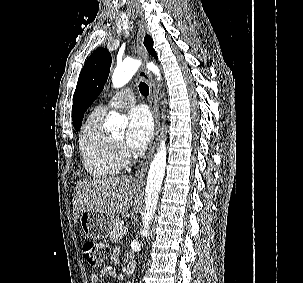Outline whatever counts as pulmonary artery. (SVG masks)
Masks as SVG:
<instances>
[{"label":"pulmonary artery","mask_w":303,"mask_h":283,"mask_svg":"<svg viewBox=\"0 0 303 283\" xmlns=\"http://www.w3.org/2000/svg\"><path fill=\"white\" fill-rule=\"evenodd\" d=\"M135 101L133 90L125 88L114 95L107 104L97 107L98 110L106 112L110 109H120L133 104Z\"/></svg>","instance_id":"obj_1"}]
</instances>
